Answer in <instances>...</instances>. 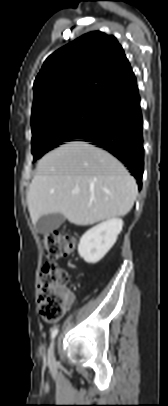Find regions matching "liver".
I'll use <instances>...</instances> for the list:
<instances>
[{
	"label": "liver",
	"mask_w": 168,
	"mask_h": 406,
	"mask_svg": "<svg viewBox=\"0 0 168 406\" xmlns=\"http://www.w3.org/2000/svg\"><path fill=\"white\" fill-rule=\"evenodd\" d=\"M137 193L135 179L115 157L73 141L39 160L27 203L33 224L43 215L59 213L73 224L90 225L128 214Z\"/></svg>",
	"instance_id": "obj_1"
}]
</instances>
